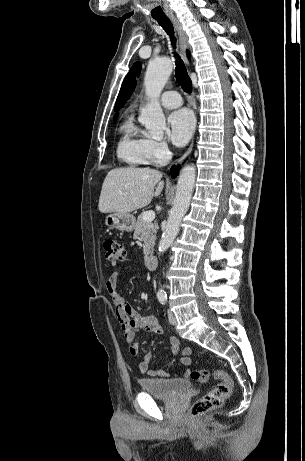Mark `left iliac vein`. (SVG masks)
Instances as JSON below:
<instances>
[{
	"label": "left iliac vein",
	"instance_id": "obj_1",
	"mask_svg": "<svg viewBox=\"0 0 305 461\" xmlns=\"http://www.w3.org/2000/svg\"><path fill=\"white\" fill-rule=\"evenodd\" d=\"M169 323L175 325L177 323L174 313L168 310Z\"/></svg>",
	"mask_w": 305,
	"mask_h": 461
}]
</instances>
